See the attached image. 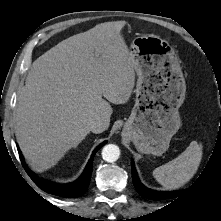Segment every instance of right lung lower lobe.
<instances>
[{
    "label": "right lung lower lobe",
    "instance_id": "right-lung-lower-lobe-1",
    "mask_svg": "<svg viewBox=\"0 0 221 221\" xmlns=\"http://www.w3.org/2000/svg\"><path fill=\"white\" fill-rule=\"evenodd\" d=\"M106 143L107 141L101 143L98 147L95 148L82 175L75 182L68 183V184L53 183L50 181H46L42 178H39L34 172H32L27 167L19 148H18V152H19L20 160L22 162L23 167L25 168L28 175L31 177V179L36 183V185L39 188H41L47 193L54 194L60 197L75 198L81 195L88 187L90 183L91 173L93 170V158L96 152Z\"/></svg>",
    "mask_w": 221,
    "mask_h": 221
}]
</instances>
